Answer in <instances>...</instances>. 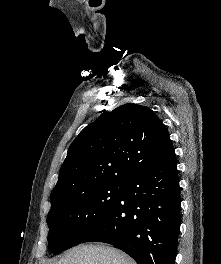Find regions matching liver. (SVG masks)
Instances as JSON below:
<instances>
[{
    "label": "liver",
    "mask_w": 221,
    "mask_h": 264,
    "mask_svg": "<svg viewBox=\"0 0 221 264\" xmlns=\"http://www.w3.org/2000/svg\"><path fill=\"white\" fill-rule=\"evenodd\" d=\"M47 264H136V262L112 247L103 245H80L70 249L60 259Z\"/></svg>",
    "instance_id": "1"
}]
</instances>
